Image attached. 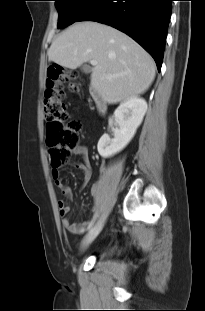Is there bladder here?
<instances>
[{"label":"bladder","instance_id":"1","mask_svg":"<svg viewBox=\"0 0 205 311\" xmlns=\"http://www.w3.org/2000/svg\"><path fill=\"white\" fill-rule=\"evenodd\" d=\"M112 252H113V248L112 247H110V248H108L106 250V254H111Z\"/></svg>","mask_w":205,"mask_h":311}]
</instances>
